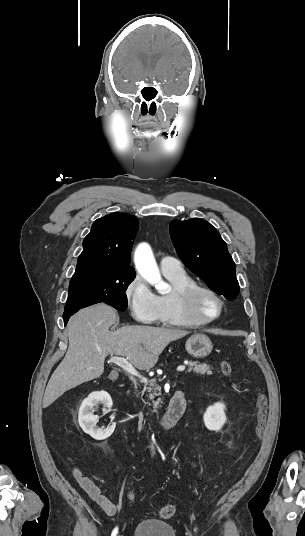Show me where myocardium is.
<instances>
[{"mask_svg":"<svg viewBox=\"0 0 305 536\" xmlns=\"http://www.w3.org/2000/svg\"><path fill=\"white\" fill-rule=\"evenodd\" d=\"M207 293L213 295L219 299L221 303V309L217 316L210 319H202L199 317L196 311V301L200 295ZM174 302L177 305L181 315L189 322V326L192 327H204L214 324L218 321L226 311V299L217 290L206 285H192L190 287L182 288L174 293Z\"/></svg>","mask_w":305,"mask_h":536,"instance_id":"obj_1","label":"myocardium"}]
</instances>
